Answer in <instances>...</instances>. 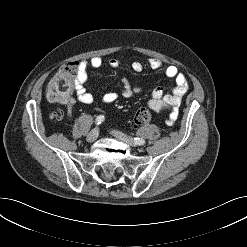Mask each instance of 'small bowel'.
<instances>
[{
    "label": "small bowel",
    "mask_w": 247,
    "mask_h": 247,
    "mask_svg": "<svg viewBox=\"0 0 247 247\" xmlns=\"http://www.w3.org/2000/svg\"><path fill=\"white\" fill-rule=\"evenodd\" d=\"M103 65L102 58L96 56L88 60H80L77 62L78 74H77V85L75 88L76 98L85 104L94 103V95L92 92L87 90L86 82L88 80V71L90 69H99ZM109 65L112 68H117L120 65V60L113 58L109 61ZM148 66L152 70L163 69L164 74L175 81V88L171 93H165L161 88H154L151 90L150 99L148 101V107L155 112H168V123H172L178 114V108L181 104L184 94L188 90V80L185 74L173 64L163 66L162 62L156 58H150L148 60ZM133 71L139 73L144 69V65L141 62L132 63ZM123 88L121 94L125 98H132L140 90L138 88L131 87L128 82L122 80ZM118 98V93L111 91L104 94L102 101L105 104L114 103ZM75 104V99L71 98L68 101L64 102L66 107V117L68 120L72 119L73 116V107Z\"/></svg>",
    "instance_id": "small-bowel-1"
}]
</instances>
